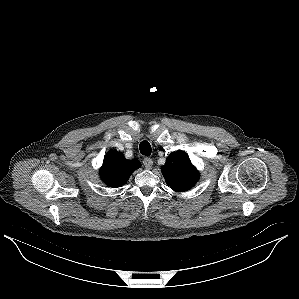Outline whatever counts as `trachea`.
Here are the masks:
<instances>
[{
	"label": "trachea",
	"instance_id": "3493384b",
	"mask_svg": "<svg viewBox=\"0 0 299 299\" xmlns=\"http://www.w3.org/2000/svg\"><path fill=\"white\" fill-rule=\"evenodd\" d=\"M139 150L142 155L150 156L151 154V145L148 141L144 140L139 145Z\"/></svg>",
	"mask_w": 299,
	"mask_h": 299
}]
</instances>
